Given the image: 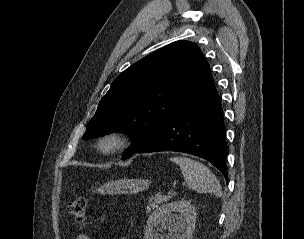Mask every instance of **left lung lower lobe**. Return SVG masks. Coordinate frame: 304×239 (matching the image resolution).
<instances>
[{"label":"left lung lower lobe","instance_id":"1","mask_svg":"<svg viewBox=\"0 0 304 239\" xmlns=\"http://www.w3.org/2000/svg\"><path fill=\"white\" fill-rule=\"evenodd\" d=\"M176 151L211 162L227 180L225 125L218 92L212 78L145 145L134 153Z\"/></svg>","mask_w":304,"mask_h":239}]
</instances>
